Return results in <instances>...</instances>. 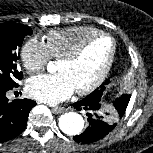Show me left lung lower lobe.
Instances as JSON below:
<instances>
[{"label": "left lung lower lobe", "instance_id": "left-lung-lower-lobe-1", "mask_svg": "<svg viewBox=\"0 0 153 153\" xmlns=\"http://www.w3.org/2000/svg\"><path fill=\"white\" fill-rule=\"evenodd\" d=\"M100 102V99L85 97L73 104L78 110L84 109L88 111L89 122L88 128L82 134L73 137L76 142L85 144L95 142L115 128L101 113L102 105Z\"/></svg>", "mask_w": 153, "mask_h": 153}]
</instances>
